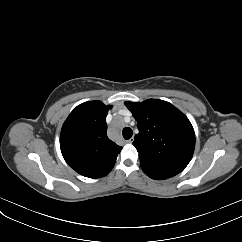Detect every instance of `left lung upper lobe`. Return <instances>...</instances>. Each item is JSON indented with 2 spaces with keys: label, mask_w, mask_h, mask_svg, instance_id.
I'll return each mask as SVG.
<instances>
[{
  "label": "left lung upper lobe",
  "mask_w": 242,
  "mask_h": 242,
  "mask_svg": "<svg viewBox=\"0 0 242 242\" xmlns=\"http://www.w3.org/2000/svg\"><path fill=\"white\" fill-rule=\"evenodd\" d=\"M137 121L136 147L141 168L152 179L177 175L190 162L195 133L188 118L171 103L148 99L125 102Z\"/></svg>",
  "instance_id": "5c2ea615"
}]
</instances>
